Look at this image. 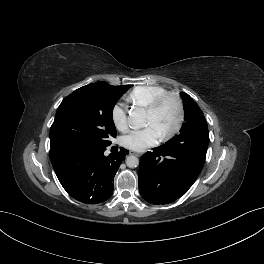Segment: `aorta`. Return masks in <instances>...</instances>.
Segmentation results:
<instances>
[{
    "label": "aorta",
    "mask_w": 264,
    "mask_h": 264,
    "mask_svg": "<svg viewBox=\"0 0 264 264\" xmlns=\"http://www.w3.org/2000/svg\"><path fill=\"white\" fill-rule=\"evenodd\" d=\"M146 113L142 108H134L129 115V123L134 128H142L145 125ZM126 164L129 168H135L139 165V159L130 155L126 158Z\"/></svg>",
    "instance_id": "1"
}]
</instances>
